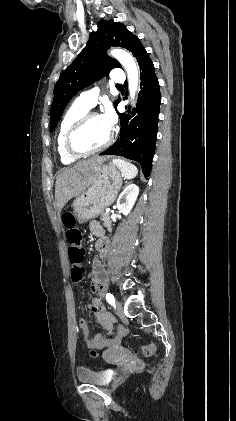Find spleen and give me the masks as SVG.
Instances as JSON below:
<instances>
[{
	"label": "spleen",
	"instance_id": "spleen-1",
	"mask_svg": "<svg viewBox=\"0 0 236 421\" xmlns=\"http://www.w3.org/2000/svg\"><path fill=\"white\" fill-rule=\"evenodd\" d=\"M113 162L120 168L125 178H134V176H137L138 168L135 164H131L128 160H122V158H114Z\"/></svg>",
	"mask_w": 236,
	"mask_h": 421
}]
</instances>
